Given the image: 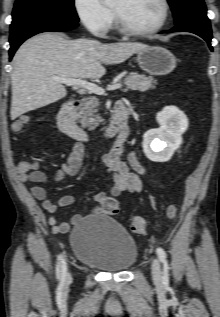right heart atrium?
I'll return each mask as SVG.
<instances>
[{"mask_svg":"<svg viewBox=\"0 0 220 317\" xmlns=\"http://www.w3.org/2000/svg\"><path fill=\"white\" fill-rule=\"evenodd\" d=\"M74 9L82 25L97 36L107 34L113 24V12L100 0H74Z\"/></svg>","mask_w":220,"mask_h":317,"instance_id":"right-heart-atrium-1","label":"right heart atrium"}]
</instances>
